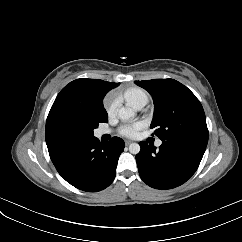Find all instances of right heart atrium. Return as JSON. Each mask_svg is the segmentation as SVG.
<instances>
[{"instance_id": "obj_1", "label": "right heart atrium", "mask_w": 242, "mask_h": 242, "mask_svg": "<svg viewBox=\"0 0 242 242\" xmlns=\"http://www.w3.org/2000/svg\"><path fill=\"white\" fill-rule=\"evenodd\" d=\"M105 108L108 115L114 114L117 108V98L113 95H110L105 101Z\"/></svg>"}]
</instances>
